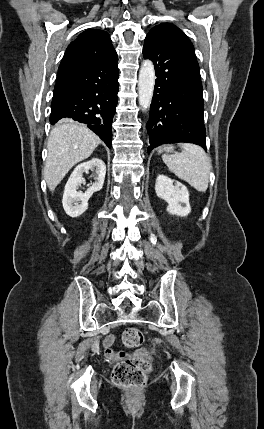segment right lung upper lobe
Listing matches in <instances>:
<instances>
[{
  "mask_svg": "<svg viewBox=\"0 0 264 429\" xmlns=\"http://www.w3.org/2000/svg\"><path fill=\"white\" fill-rule=\"evenodd\" d=\"M114 48L107 32L84 31L68 46L58 70L57 80L76 73L107 56Z\"/></svg>",
  "mask_w": 264,
  "mask_h": 429,
  "instance_id": "obj_1",
  "label": "right lung upper lobe"
}]
</instances>
